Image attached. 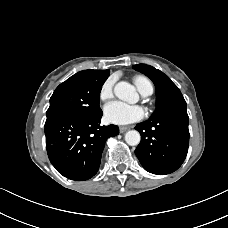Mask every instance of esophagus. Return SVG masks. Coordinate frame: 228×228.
Masks as SVG:
<instances>
[{"label":"esophagus","mask_w":228,"mask_h":228,"mask_svg":"<svg viewBox=\"0 0 228 228\" xmlns=\"http://www.w3.org/2000/svg\"><path fill=\"white\" fill-rule=\"evenodd\" d=\"M128 129H129V127H125V126L119 127L120 133H124V132H126Z\"/></svg>","instance_id":"34e87169"}]
</instances>
